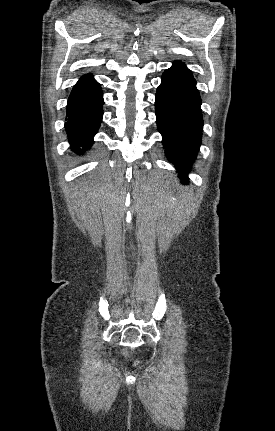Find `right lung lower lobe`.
<instances>
[{"label":"right lung lower lobe","mask_w":275,"mask_h":431,"mask_svg":"<svg viewBox=\"0 0 275 431\" xmlns=\"http://www.w3.org/2000/svg\"><path fill=\"white\" fill-rule=\"evenodd\" d=\"M103 92L91 74L85 75L73 87L67 103L65 129L71 149L82 154L93 144L102 121Z\"/></svg>","instance_id":"obj_1"}]
</instances>
